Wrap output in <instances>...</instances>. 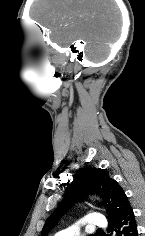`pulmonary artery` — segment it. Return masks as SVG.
<instances>
[{"mask_svg":"<svg viewBox=\"0 0 145 236\" xmlns=\"http://www.w3.org/2000/svg\"><path fill=\"white\" fill-rule=\"evenodd\" d=\"M82 225L89 227H104L106 225V220L102 214L93 213L88 215L82 221L58 232L55 236H79V230Z\"/></svg>","mask_w":145,"mask_h":236,"instance_id":"pulmonary-artery-1","label":"pulmonary artery"}]
</instances>
